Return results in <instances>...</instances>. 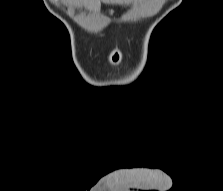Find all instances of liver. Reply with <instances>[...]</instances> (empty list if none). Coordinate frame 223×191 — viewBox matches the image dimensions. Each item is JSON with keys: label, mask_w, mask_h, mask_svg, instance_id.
<instances>
[{"label": "liver", "mask_w": 223, "mask_h": 191, "mask_svg": "<svg viewBox=\"0 0 223 191\" xmlns=\"http://www.w3.org/2000/svg\"><path fill=\"white\" fill-rule=\"evenodd\" d=\"M75 5L80 7L84 6L90 11L99 12L100 11V0H73ZM104 3L108 4H130L133 0H102Z\"/></svg>", "instance_id": "liver-1"}]
</instances>
